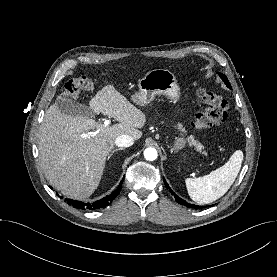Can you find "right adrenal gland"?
<instances>
[{
  "label": "right adrenal gland",
  "mask_w": 277,
  "mask_h": 277,
  "mask_svg": "<svg viewBox=\"0 0 277 277\" xmlns=\"http://www.w3.org/2000/svg\"><path fill=\"white\" fill-rule=\"evenodd\" d=\"M118 150H123V148H117V149L112 150L111 153L108 155L107 160H109L112 157V155L114 154V152H116Z\"/></svg>",
  "instance_id": "2a0ac1e0"
}]
</instances>
